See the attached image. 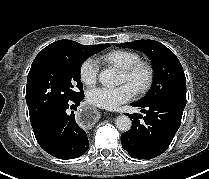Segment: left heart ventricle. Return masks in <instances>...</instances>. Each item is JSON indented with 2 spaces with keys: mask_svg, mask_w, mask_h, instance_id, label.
<instances>
[{
  "mask_svg": "<svg viewBox=\"0 0 209 179\" xmlns=\"http://www.w3.org/2000/svg\"><path fill=\"white\" fill-rule=\"evenodd\" d=\"M142 80V75H139L135 80L129 81L126 76L122 73L121 75V83H129L135 89L136 85Z\"/></svg>",
  "mask_w": 209,
  "mask_h": 179,
  "instance_id": "obj_1",
  "label": "left heart ventricle"
}]
</instances>
